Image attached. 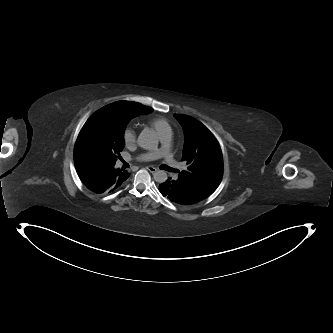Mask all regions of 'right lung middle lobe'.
Here are the masks:
<instances>
[{
    "mask_svg": "<svg viewBox=\"0 0 333 333\" xmlns=\"http://www.w3.org/2000/svg\"><path fill=\"white\" fill-rule=\"evenodd\" d=\"M135 114L108 105L95 112L81 129L74 149L78 166H113L124 148V129Z\"/></svg>",
    "mask_w": 333,
    "mask_h": 333,
    "instance_id": "right-lung-middle-lobe-1",
    "label": "right lung middle lobe"
}]
</instances>
